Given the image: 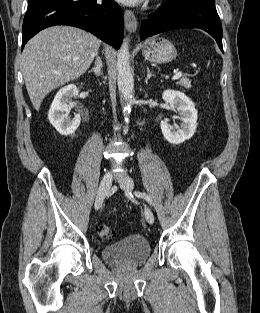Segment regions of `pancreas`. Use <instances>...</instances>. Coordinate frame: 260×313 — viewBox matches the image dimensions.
Masks as SVG:
<instances>
[{
	"label": "pancreas",
	"mask_w": 260,
	"mask_h": 313,
	"mask_svg": "<svg viewBox=\"0 0 260 313\" xmlns=\"http://www.w3.org/2000/svg\"><path fill=\"white\" fill-rule=\"evenodd\" d=\"M177 85H180L186 89L191 88V81L188 78L182 77L177 83Z\"/></svg>",
	"instance_id": "1"
}]
</instances>
